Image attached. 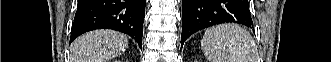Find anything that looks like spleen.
<instances>
[{"instance_id":"1","label":"spleen","mask_w":331,"mask_h":62,"mask_svg":"<svg viewBox=\"0 0 331 62\" xmlns=\"http://www.w3.org/2000/svg\"><path fill=\"white\" fill-rule=\"evenodd\" d=\"M209 62H256L255 42L250 33L236 24L208 29L201 41Z\"/></svg>"}]
</instances>
